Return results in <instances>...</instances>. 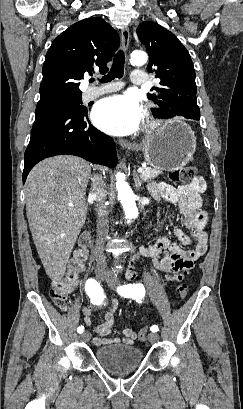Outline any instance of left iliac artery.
I'll list each match as a JSON object with an SVG mask.
<instances>
[{
    "mask_svg": "<svg viewBox=\"0 0 243 409\" xmlns=\"http://www.w3.org/2000/svg\"><path fill=\"white\" fill-rule=\"evenodd\" d=\"M117 291L121 296L128 297V298L131 297L133 299L136 298L137 301H138V298L141 299L145 294L144 286L141 284L123 285L121 287H118ZM150 330L155 333L159 329L157 325H152Z\"/></svg>",
    "mask_w": 243,
    "mask_h": 409,
    "instance_id": "left-iliac-artery-1",
    "label": "left iliac artery"
}]
</instances>
